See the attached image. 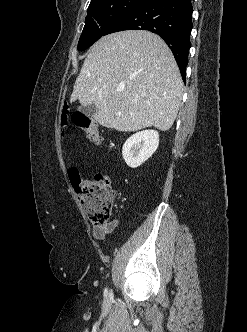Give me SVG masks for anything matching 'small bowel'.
I'll return each instance as SVG.
<instances>
[{"label":"small bowel","mask_w":247,"mask_h":332,"mask_svg":"<svg viewBox=\"0 0 247 332\" xmlns=\"http://www.w3.org/2000/svg\"><path fill=\"white\" fill-rule=\"evenodd\" d=\"M116 225V221H112L104 225H96L93 228V234L97 239H104L107 234L115 229Z\"/></svg>","instance_id":"c3829d8e"}]
</instances>
